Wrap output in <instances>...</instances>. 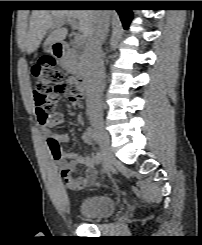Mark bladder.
Here are the masks:
<instances>
[{
  "instance_id": "bladder-1",
  "label": "bladder",
  "mask_w": 202,
  "mask_h": 245,
  "mask_svg": "<svg viewBox=\"0 0 202 245\" xmlns=\"http://www.w3.org/2000/svg\"><path fill=\"white\" fill-rule=\"evenodd\" d=\"M116 210L117 202L109 195L86 197L78 208L83 218L95 222L111 216Z\"/></svg>"
}]
</instances>
